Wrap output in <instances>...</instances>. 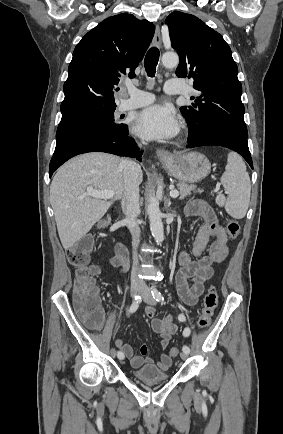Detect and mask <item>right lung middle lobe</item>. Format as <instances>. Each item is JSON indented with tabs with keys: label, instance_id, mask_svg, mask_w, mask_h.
Instances as JSON below:
<instances>
[{
	"label": "right lung middle lobe",
	"instance_id": "right-lung-middle-lobe-1",
	"mask_svg": "<svg viewBox=\"0 0 283 434\" xmlns=\"http://www.w3.org/2000/svg\"><path fill=\"white\" fill-rule=\"evenodd\" d=\"M114 110L62 118L58 125L56 142L71 135L95 129L126 131L128 129L126 124L114 122Z\"/></svg>",
	"mask_w": 283,
	"mask_h": 434
}]
</instances>
